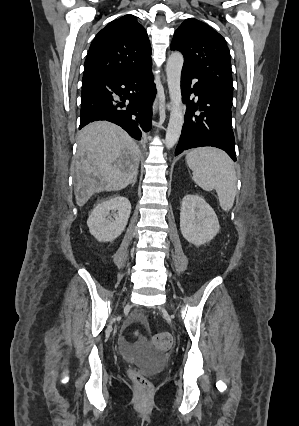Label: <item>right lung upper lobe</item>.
<instances>
[{
	"label": "right lung upper lobe",
	"instance_id": "right-lung-upper-lobe-1",
	"mask_svg": "<svg viewBox=\"0 0 299 426\" xmlns=\"http://www.w3.org/2000/svg\"><path fill=\"white\" fill-rule=\"evenodd\" d=\"M151 65L146 30L136 16L125 15L106 25L94 38L85 60L82 82L103 80Z\"/></svg>",
	"mask_w": 299,
	"mask_h": 426
}]
</instances>
